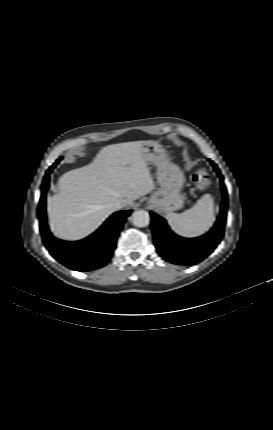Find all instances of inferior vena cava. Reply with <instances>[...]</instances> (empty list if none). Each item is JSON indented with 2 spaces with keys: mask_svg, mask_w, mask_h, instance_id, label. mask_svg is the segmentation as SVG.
Returning <instances> with one entry per match:
<instances>
[{
  "mask_svg": "<svg viewBox=\"0 0 273 430\" xmlns=\"http://www.w3.org/2000/svg\"><path fill=\"white\" fill-rule=\"evenodd\" d=\"M127 204H128V201H127L126 199H121V200H118V201L114 204V207H115V209H116V210H118V209H121V208L126 207V206H127Z\"/></svg>",
  "mask_w": 273,
  "mask_h": 430,
  "instance_id": "obj_1",
  "label": "inferior vena cava"
}]
</instances>
